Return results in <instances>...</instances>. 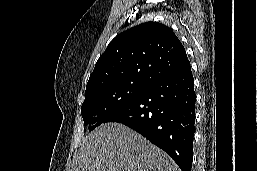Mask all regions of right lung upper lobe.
I'll return each mask as SVG.
<instances>
[{
    "label": "right lung upper lobe",
    "instance_id": "cb5924a9",
    "mask_svg": "<svg viewBox=\"0 0 257 171\" xmlns=\"http://www.w3.org/2000/svg\"><path fill=\"white\" fill-rule=\"evenodd\" d=\"M189 63L172 29L158 22L142 23L109 43L96 62L86 91L115 83L149 85Z\"/></svg>",
    "mask_w": 257,
    "mask_h": 171
}]
</instances>
